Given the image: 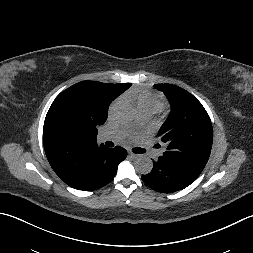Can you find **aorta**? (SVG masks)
<instances>
[{"label":"aorta","mask_w":253,"mask_h":253,"mask_svg":"<svg viewBox=\"0 0 253 253\" xmlns=\"http://www.w3.org/2000/svg\"><path fill=\"white\" fill-rule=\"evenodd\" d=\"M137 115V109L130 103H123L116 109V119L120 123H128L132 121ZM153 163L148 157H140L135 162V169L138 173L146 175L151 172Z\"/></svg>","instance_id":"aorta-1"}]
</instances>
